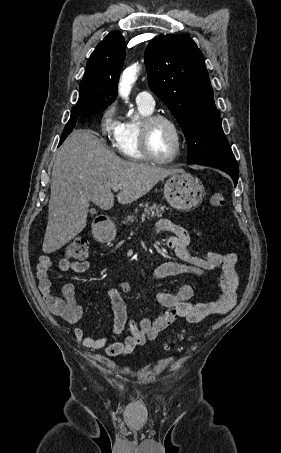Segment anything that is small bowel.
Wrapping results in <instances>:
<instances>
[{
  "label": "small bowel",
  "instance_id": "c3829d8e",
  "mask_svg": "<svg viewBox=\"0 0 281 453\" xmlns=\"http://www.w3.org/2000/svg\"><path fill=\"white\" fill-rule=\"evenodd\" d=\"M155 232L157 234L168 232L174 237L168 240L169 246L174 250L177 259L162 262L155 269V277L161 279L172 276H191L207 279L209 272L217 267L221 270L220 299L212 302H191L193 294L191 286H181L176 294L159 293L158 300L165 307V311L154 318H145L140 323L128 320L122 293H129L131 285L128 282H120L116 287L107 291L110 300L113 320L112 330L119 334L127 326L129 334L123 341L108 344V335L92 337L83 329L75 328L76 338L87 349L105 348L108 356L118 358L125 356L142 345L147 339L157 338L168 326L179 318H184L188 323L196 324L203 321L208 315H224L229 313L237 300L238 274L237 256L234 253L207 252L203 255L192 254L189 250L191 236L189 232L169 220L158 221ZM52 259L48 255H41L38 261L37 278L39 288L44 296L51 313L69 325H76L83 315V307L76 298V285L73 282L63 284V299L55 297L52 293V285L49 278V270ZM58 272L68 270L75 272H88L92 265L88 262L74 263L70 259H61L57 264Z\"/></svg>",
  "mask_w": 281,
  "mask_h": 453
}]
</instances>
